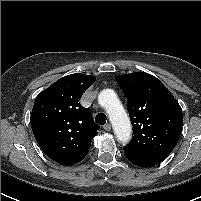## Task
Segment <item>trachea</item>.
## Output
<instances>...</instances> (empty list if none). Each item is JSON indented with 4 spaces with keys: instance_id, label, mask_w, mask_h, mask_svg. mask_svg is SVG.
<instances>
[{
    "instance_id": "1",
    "label": "trachea",
    "mask_w": 201,
    "mask_h": 201,
    "mask_svg": "<svg viewBox=\"0 0 201 201\" xmlns=\"http://www.w3.org/2000/svg\"><path fill=\"white\" fill-rule=\"evenodd\" d=\"M107 117L104 113H99L96 115L95 117V121L99 124V125H104L106 123Z\"/></svg>"
}]
</instances>
